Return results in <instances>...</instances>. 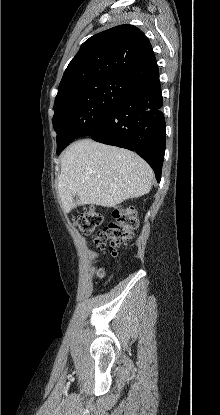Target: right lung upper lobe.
<instances>
[{"label": "right lung upper lobe", "instance_id": "cb5924a9", "mask_svg": "<svg viewBox=\"0 0 220 415\" xmlns=\"http://www.w3.org/2000/svg\"><path fill=\"white\" fill-rule=\"evenodd\" d=\"M159 74L148 38L133 25H119L87 39L66 68L58 93L74 84L106 78L137 85Z\"/></svg>", "mask_w": 220, "mask_h": 415}]
</instances>
